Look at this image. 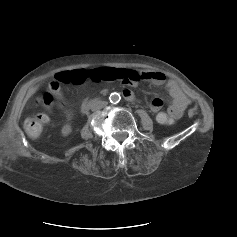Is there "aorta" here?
I'll list each match as a JSON object with an SVG mask.
<instances>
[{
  "mask_svg": "<svg viewBox=\"0 0 237 237\" xmlns=\"http://www.w3.org/2000/svg\"><path fill=\"white\" fill-rule=\"evenodd\" d=\"M109 100H110L111 103L116 104L121 100V96H120L119 93L113 92V93L110 94Z\"/></svg>",
  "mask_w": 237,
  "mask_h": 237,
  "instance_id": "1",
  "label": "aorta"
}]
</instances>
